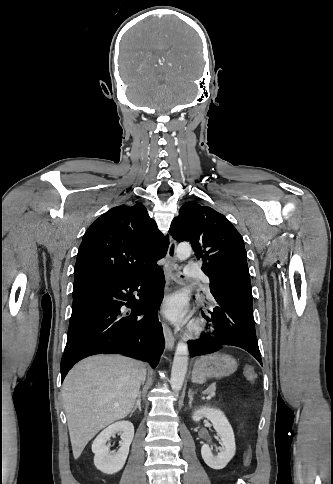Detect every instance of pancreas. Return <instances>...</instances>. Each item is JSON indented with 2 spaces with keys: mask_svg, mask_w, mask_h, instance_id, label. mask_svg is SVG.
<instances>
[{
  "mask_svg": "<svg viewBox=\"0 0 333 484\" xmlns=\"http://www.w3.org/2000/svg\"><path fill=\"white\" fill-rule=\"evenodd\" d=\"M215 384H211L203 393L209 396H214L215 395Z\"/></svg>",
  "mask_w": 333,
  "mask_h": 484,
  "instance_id": "1",
  "label": "pancreas"
}]
</instances>
